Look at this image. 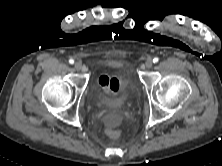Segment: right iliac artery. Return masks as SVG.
Returning <instances> with one entry per match:
<instances>
[{
  "mask_svg": "<svg viewBox=\"0 0 222 166\" xmlns=\"http://www.w3.org/2000/svg\"><path fill=\"white\" fill-rule=\"evenodd\" d=\"M69 63H70V64H73V63H74V60H73V59H70V60H69Z\"/></svg>",
  "mask_w": 222,
  "mask_h": 166,
  "instance_id": "1",
  "label": "right iliac artery"
}]
</instances>
